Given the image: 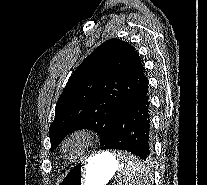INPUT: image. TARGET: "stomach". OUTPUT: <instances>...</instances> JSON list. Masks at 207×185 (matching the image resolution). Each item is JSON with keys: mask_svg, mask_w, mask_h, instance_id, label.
<instances>
[{"mask_svg": "<svg viewBox=\"0 0 207 185\" xmlns=\"http://www.w3.org/2000/svg\"><path fill=\"white\" fill-rule=\"evenodd\" d=\"M118 170V161L110 152H102L74 165L58 185H105Z\"/></svg>", "mask_w": 207, "mask_h": 185, "instance_id": "stomach-1", "label": "stomach"}]
</instances>
